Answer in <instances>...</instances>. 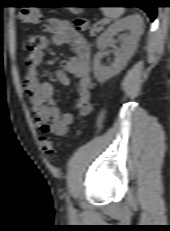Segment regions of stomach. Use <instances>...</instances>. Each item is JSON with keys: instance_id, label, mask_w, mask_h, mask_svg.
<instances>
[{"instance_id": "obj_1", "label": "stomach", "mask_w": 170, "mask_h": 231, "mask_svg": "<svg viewBox=\"0 0 170 231\" xmlns=\"http://www.w3.org/2000/svg\"><path fill=\"white\" fill-rule=\"evenodd\" d=\"M68 9H70L71 11H78L77 8H75V7H71V8H68Z\"/></svg>"}]
</instances>
